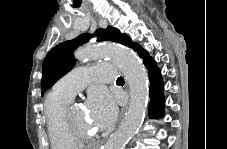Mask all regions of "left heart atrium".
Segmentation results:
<instances>
[{
  "instance_id": "39dd6f15",
  "label": "left heart atrium",
  "mask_w": 227,
  "mask_h": 149,
  "mask_svg": "<svg viewBox=\"0 0 227 149\" xmlns=\"http://www.w3.org/2000/svg\"><path fill=\"white\" fill-rule=\"evenodd\" d=\"M91 110L96 128H106L115 120L117 108L110 94L102 89L92 92Z\"/></svg>"
}]
</instances>
